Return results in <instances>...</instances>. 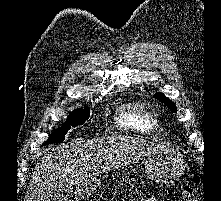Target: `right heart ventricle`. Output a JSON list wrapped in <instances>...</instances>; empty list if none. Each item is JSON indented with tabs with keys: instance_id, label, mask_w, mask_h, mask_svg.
<instances>
[{
	"instance_id": "obj_1",
	"label": "right heart ventricle",
	"mask_w": 221,
	"mask_h": 201,
	"mask_svg": "<svg viewBox=\"0 0 221 201\" xmlns=\"http://www.w3.org/2000/svg\"><path fill=\"white\" fill-rule=\"evenodd\" d=\"M115 121L119 128L139 133H150L159 127V120L155 113L140 102L119 108Z\"/></svg>"
}]
</instances>
